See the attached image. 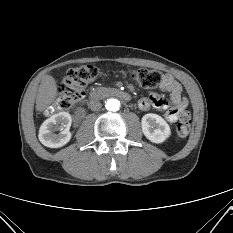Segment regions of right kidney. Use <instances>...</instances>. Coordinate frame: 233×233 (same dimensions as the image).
Instances as JSON below:
<instances>
[{
    "label": "right kidney",
    "mask_w": 233,
    "mask_h": 233,
    "mask_svg": "<svg viewBox=\"0 0 233 233\" xmlns=\"http://www.w3.org/2000/svg\"><path fill=\"white\" fill-rule=\"evenodd\" d=\"M72 124L71 115L68 112H59L46 119L39 129L40 142L50 148H58L67 144L71 139L69 131ZM61 131L60 133H55Z\"/></svg>",
    "instance_id": "1"
}]
</instances>
